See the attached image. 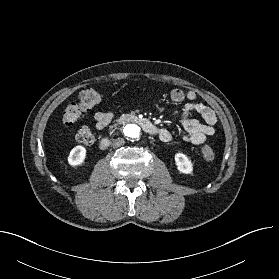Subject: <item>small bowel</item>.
<instances>
[{
  "instance_id": "c3829d8e",
  "label": "small bowel",
  "mask_w": 279,
  "mask_h": 279,
  "mask_svg": "<svg viewBox=\"0 0 279 279\" xmlns=\"http://www.w3.org/2000/svg\"><path fill=\"white\" fill-rule=\"evenodd\" d=\"M196 93L193 90L183 91L175 88L170 92V99L174 103L188 102L181 109L180 121L184 129L183 140L187 143L199 145L206 141L207 137L215 133L214 125L217 122L215 112L205 104L195 102ZM192 113L199 114L204 123L190 118ZM112 112H96L94 119L99 130L104 129L113 119ZM157 135L163 142H170L173 138L171 131L166 128H157Z\"/></svg>"
}]
</instances>
